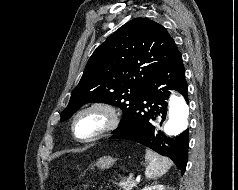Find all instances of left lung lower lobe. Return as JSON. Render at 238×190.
Here are the masks:
<instances>
[{"instance_id":"obj_1","label":"left lung lower lobe","mask_w":238,"mask_h":190,"mask_svg":"<svg viewBox=\"0 0 238 190\" xmlns=\"http://www.w3.org/2000/svg\"><path fill=\"white\" fill-rule=\"evenodd\" d=\"M168 90H177L188 102V85L180 52L151 77L129 117L112 132L111 139H126L147 146L172 159L184 174L188 159V129L172 138L157 129V122L161 120L162 123L166 117Z\"/></svg>"}]
</instances>
